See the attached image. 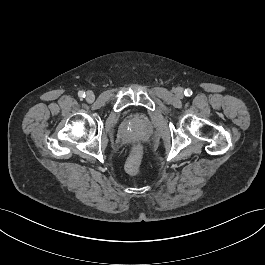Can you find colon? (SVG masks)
<instances>
[{
	"instance_id": "colon-1",
	"label": "colon",
	"mask_w": 265,
	"mask_h": 265,
	"mask_svg": "<svg viewBox=\"0 0 265 265\" xmlns=\"http://www.w3.org/2000/svg\"><path fill=\"white\" fill-rule=\"evenodd\" d=\"M143 150L140 144H135L125 163V170L131 174L138 176L142 172Z\"/></svg>"
}]
</instances>
